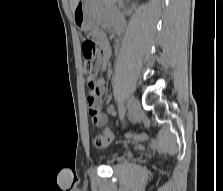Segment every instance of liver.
Wrapping results in <instances>:
<instances>
[{"mask_svg": "<svg viewBox=\"0 0 223 191\" xmlns=\"http://www.w3.org/2000/svg\"><path fill=\"white\" fill-rule=\"evenodd\" d=\"M69 2H70L71 10H72V12H74V9H75L77 3L79 2V0H69Z\"/></svg>", "mask_w": 223, "mask_h": 191, "instance_id": "1", "label": "liver"}]
</instances>
